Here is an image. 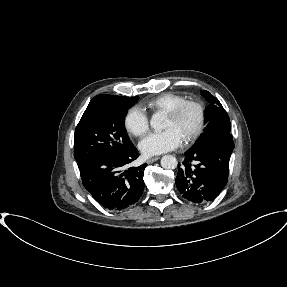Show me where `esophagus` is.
<instances>
[{"label": "esophagus", "instance_id": "obj_1", "mask_svg": "<svg viewBox=\"0 0 287 287\" xmlns=\"http://www.w3.org/2000/svg\"><path fill=\"white\" fill-rule=\"evenodd\" d=\"M159 159H160V156H155V157L149 158V159L147 160V163H148V164H151V163H153V162H155V161H157V160H159Z\"/></svg>", "mask_w": 287, "mask_h": 287}]
</instances>
